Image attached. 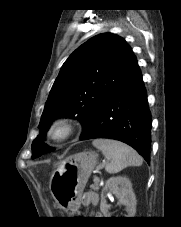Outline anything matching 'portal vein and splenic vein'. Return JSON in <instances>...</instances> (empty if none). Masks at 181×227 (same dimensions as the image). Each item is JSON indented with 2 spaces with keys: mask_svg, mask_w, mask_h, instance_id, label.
Returning <instances> with one entry per match:
<instances>
[{
  "mask_svg": "<svg viewBox=\"0 0 181 227\" xmlns=\"http://www.w3.org/2000/svg\"><path fill=\"white\" fill-rule=\"evenodd\" d=\"M94 182H99V178L98 177H95L94 178Z\"/></svg>",
  "mask_w": 181,
  "mask_h": 227,
  "instance_id": "obj_1",
  "label": "portal vein and splenic vein"
}]
</instances>
